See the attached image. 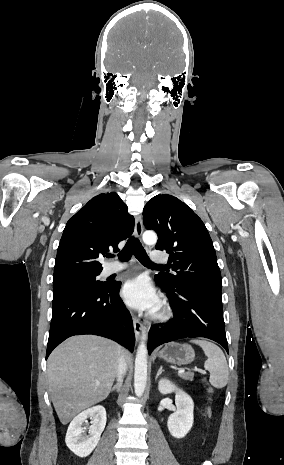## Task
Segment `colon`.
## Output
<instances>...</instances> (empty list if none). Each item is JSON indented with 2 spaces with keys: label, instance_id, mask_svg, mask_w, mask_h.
<instances>
[{
  "label": "colon",
  "instance_id": "1",
  "mask_svg": "<svg viewBox=\"0 0 284 465\" xmlns=\"http://www.w3.org/2000/svg\"><path fill=\"white\" fill-rule=\"evenodd\" d=\"M207 393H208L209 395H211V394H212V391H211V390H207Z\"/></svg>",
  "mask_w": 284,
  "mask_h": 465
}]
</instances>
